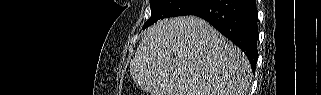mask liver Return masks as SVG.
<instances>
[{"label": "liver", "instance_id": "obj_1", "mask_svg": "<svg viewBox=\"0 0 321 95\" xmlns=\"http://www.w3.org/2000/svg\"><path fill=\"white\" fill-rule=\"evenodd\" d=\"M130 73L151 95H246L251 80L244 53L195 16L164 19L148 28Z\"/></svg>", "mask_w": 321, "mask_h": 95}]
</instances>
